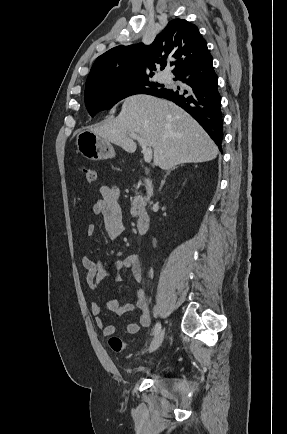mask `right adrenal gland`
I'll return each instance as SVG.
<instances>
[{"mask_svg":"<svg viewBox=\"0 0 287 434\" xmlns=\"http://www.w3.org/2000/svg\"><path fill=\"white\" fill-rule=\"evenodd\" d=\"M175 169V167L174 168H172L171 170H169L168 172H167V174L165 175V178H164V181H165V179H166V177H167V175H169V173L172 171V170H174ZM164 181L162 182V184L164 183Z\"/></svg>","mask_w":287,"mask_h":434,"instance_id":"2a0ac1e0","label":"right adrenal gland"}]
</instances>
